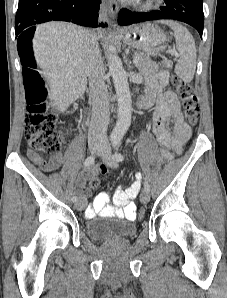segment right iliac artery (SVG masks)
Listing matches in <instances>:
<instances>
[{
  "instance_id": "obj_1",
  "label": "right iliac artery",
  "mask_w": 227,
  "mask_h": 298,
  "mask_svg": "<svg viewBox=\"0 0 227 298\" xmlns=\"http://www.w3.org/2000/svg\"><path fill=\"white\" fill-rule=\"evenodd\" d=\"M94 161H95V157L93 155L89 156L86 158L85 162H84V166L85 167H90L92 164H94ZM72 201L73 202H76L77 201V197L76 196H73L72 197Z\"/></svg>"
}]
</instances>
